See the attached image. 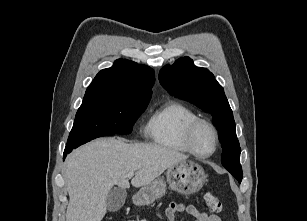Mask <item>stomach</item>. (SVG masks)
<instances>
[{"label": "stomach", "mask_w": 307, "mask_h": 221, "mask_svg": "<svg viewBox=\"0 0 307 221\" xmlns=\"http://www.w3.org/2000/svg\"><path fill=\"white\" fill-rule=\"evenodd\" d=\"M206 176L201 165L193 161H183L170 168L166 173V181L159 178L142 187L134 197L138 205H149L162 197L166 192V182L170 188L184 195L199 191L204 185Z\"/></svg>", "instance_id": "1"}]
</instances>
